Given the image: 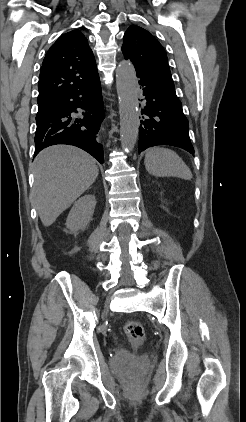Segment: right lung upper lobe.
Wrapping results in <instances>:
<instances>
[{"label":"right lung upper lobe","mask_w":246,"mask_h":422,"mask_svg":"<svg viewBox=\"0 0 246 422\" xmlns=\"http://www.w3.org/2000/svg\"><path fill=\"white\" fill-rule=\"evenodd\" d=\"M97 76L93 52L82 32L73 30L63 34L43 60L38 82V109L89 84Z\"/></svg>","instance_id":"right-lung-upper-lobe-1"}]
</instances>
